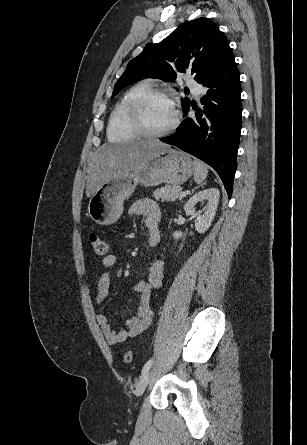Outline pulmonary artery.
<instances>
[{"instance_id": "e3ab8cb5", "label": "pulmonary artery", "mask_w": 307, "mask_h": 445, "mask_svg": "<svg viewBox=\"0 0 307 445\" xmlns=\"http://www.w3.org/2000/svg\"><path fill=\"white\" fill-rule=\"evenodd\" d=\"M182 87L186 88L187 90H198L199 82L198 81H187L186 83L182 84Z\"/></svg>"}]
</instances>
